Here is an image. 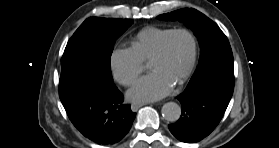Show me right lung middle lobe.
<instances>
[{
  "mask_svg": "<svg viewBox=\"0 0 279 148\" xmlns=\"http://www.w3.org/2000/svg\"><path fill=\"white\" fill-rule=\"evenodd\" d=\"M133 23L131 19L89 18L76 30L66 49L84 48L97 60L101 75L113 82L110 58L116 39Z\"/></svg>",
  "mask_w": 279,
  "mask_h": 148,
  "instance_id": "obj_1",
  "label": "right lung middle lobe"
}]
</instances>
